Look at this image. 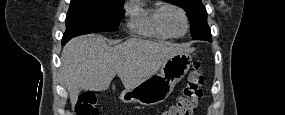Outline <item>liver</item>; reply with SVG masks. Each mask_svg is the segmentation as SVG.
I'll return each mask as SVG.
<instances>
[{
  "mask_svg": "<svg viewBox=\"0 0 285 115\" xmlns=\"http://www.w3.org/2000/svg\"><path fill=\"white\" fill-rule=\"evenodd\" d=\"M193 49L141 39L110 47L100 35L74 38L63 48L61 73L72 107L81 90L104 91L118 75L130 89L156 74L169 58Z\"/></svg>",
  "mask_w": 285,
  "mask_h": 115,
  "instance_id": "obj_1",
  "label": "liver"
}]
</instances>
